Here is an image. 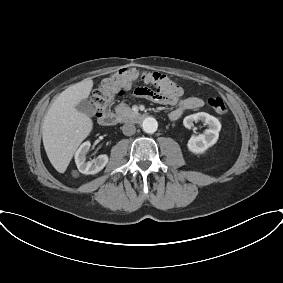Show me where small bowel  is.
Here are the masks:
<instances>
[{
  "label": "small bowel",
  "mask_w": 283,
  "mask_h": 283,
  "mask_svg": "<svg viewBox=\"0 0 283 283\" xmlns=\"http://www.w3.org/2000/svg\"><path fill=\"white\" fill-rule=\"evenodd\" d=\"M174 93L168 96L165 101H159L152 97H146L155 102H162L166 104L175 105L178 104V107L175 108L170 113V118L172 120H177L181 117V115L187 110H194L202 106V100L198 97H183L181 88L173 82Z\"/></svg>",
  "instance_id": "small-bowel-1"
}]
</instances>
